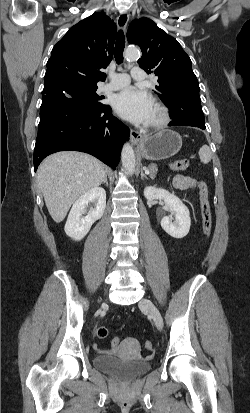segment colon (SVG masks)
<instances>
[{"mask_svg":"<svg viewBox=\"0 0 250 413\" xmlns=\"http://www.w3.org/2000/svg\"><path fill=\"white\" fill-rule=\"evenodd\" d=\"M190 165V161L188 159H180L172 162L170 167L174 171H183L186 170ZM199 194H200V204H201V215H202V227L203 232L206 237H209L212 230V219H211V212H210V205L208 200V188L204 182L199 183ZM108 335V329L105 326H100L97 329V336L99 338H105ZM121 341L120 335H115L112 338V342L110 347L113 350H116L119 347V343ZM145 349L147 351H152L153 344L150 341L145 342Z\"/></svg>","mask_w":250,"mask_h":413,"instance_id":"obj_1","label":"colon"}]
</instances>
